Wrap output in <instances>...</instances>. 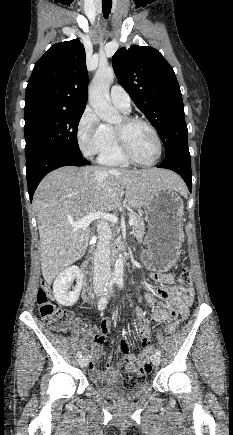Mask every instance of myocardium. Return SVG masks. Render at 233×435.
Returning <instances> with one entry per match:
<instances>
[{
	"instance_id": "obj_1",
	"label": "myocardium",
	"mask_w": 233,
	"mask_h": 435,
	"mask_svg": "<svg viewBox=\"0 0 233 435\" xmlns=\"http://www.w3.org/2000/svg\"><path fill=\"white\" fill-rule=\"evenodd\" d=\"M134 123H142L146 125L154 136L156 146H157V156L152 162L144 163L137 160L127 144L125 129L133 125ZM114 133L121 154L129 163L140 167H152L159 162L162 155V143L158 131L150 121L138 116H125L123 118V125L121 127L114 126Z\"/></svg>"
}]
</instances>
